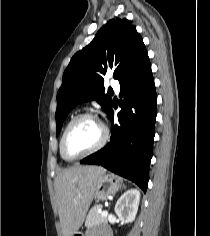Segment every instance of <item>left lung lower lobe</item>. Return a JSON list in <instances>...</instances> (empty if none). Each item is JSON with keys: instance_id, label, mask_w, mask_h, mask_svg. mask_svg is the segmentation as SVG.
Instances as JSON below:
<instances>
[{"instance_id": "1", "label": "left lung lower lobe", "mask_w": 210, "mask_h": 236, "mask_svg": "<svg viewBox=\"0 0 210 236\" xmlns=\"http://www.w3.org/2000/svg\"><path fill=\"white\" fill-rule=\"evenodd\" d=\"M120 97L124 99L119 102L118 122H113V108L108 113L112 122L109 143L81 163L101 165L135 182L146 192L157 103L149 60L120 84Z\"/></svg>"}]
</instances>
